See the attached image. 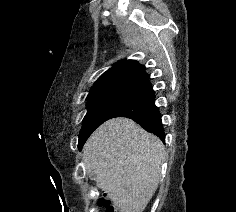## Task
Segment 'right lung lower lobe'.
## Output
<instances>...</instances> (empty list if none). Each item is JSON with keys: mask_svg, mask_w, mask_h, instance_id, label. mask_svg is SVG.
Wrapping results in <instances>:
<instances>
[{"mask_svg": "<svg viewBox=\"0 0 236 212\" xmlns=\"http://www.w3.org/2000/svg\"><path fill=\"white\" fill-rule=\"evenodd\" d=\"M114 117L130 118L146 131L155 134L163 142L165 141L161 113L155 105V94L149 82V76L130 90L128 97L118 106L110 118Z\"/></svg>", "mask_w": 236, "mask_h": 212, "instance_id": "obj_1", "label": "right lung lower lobe"}]
</instances>
